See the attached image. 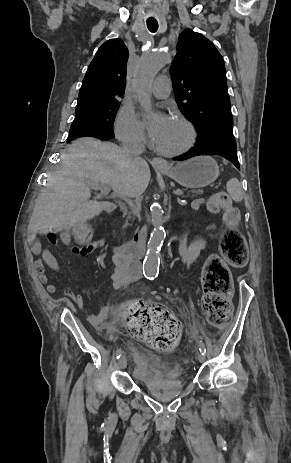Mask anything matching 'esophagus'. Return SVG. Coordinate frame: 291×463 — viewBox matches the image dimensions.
Returning a JSON list of instances; mask_svg holds the SVG:
<instances>
[{"label":"esophagus","instance_id":"esophagus-1","mask_svg":"<svg viewBox=\"0 0 291 463\" xmlns=\"http://www.w3.org/2000/svg\"><path fill=\"white\" fill-rule=\"evenodd\" d=\"M152 164H154V165H156V166H159V167H165V166H167V162H166L164 159L159 158V157L153 158Z\"/></svg>","mask_w":291,"mask_h":463}]
</instances>
